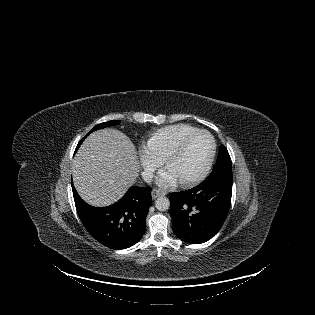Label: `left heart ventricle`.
<instances>
[{
  "instance_id": "left-heart-ventricle-1",
  "label": "left heart ventricle",
  "mask_w": 315,
  "mask_h": 315,
  "mask_svg": "<svg viewBox=\"0 0 315 315\" xmlns=\"http://www.w3.org/2000/svg\"><path fill=\"white\" fill-rule=\"evenodd\" d=\"M211 150V142L206 134L194 136L182 153L171 161L168 170L179 180L197 175L205 166Z\"/></svg>"
}]
</instances>
